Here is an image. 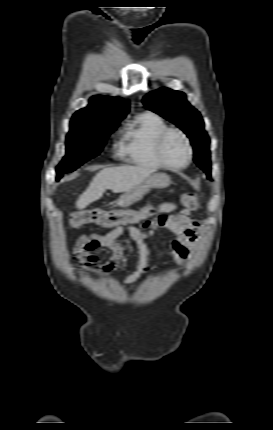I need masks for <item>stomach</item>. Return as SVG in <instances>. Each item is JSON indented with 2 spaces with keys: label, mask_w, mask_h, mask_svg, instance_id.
<instances>
[{
  "label": "stomach",
  "mask_w": 273,
  "mask_h": 430,
  "mask_svg": "<svg viewBox=\"0 0 273 430\" xmlns=\"http://www.w3.org/2000/svg\"><path fill=\"white\" fill-rule=\"evenodd\" d=\"M170 178L165 173H152L133 189L121 196L123 206H130L140 200L151 188H165L169 186Z\"/></svg>",
  "instance_id": "1"
}]
</instances>
